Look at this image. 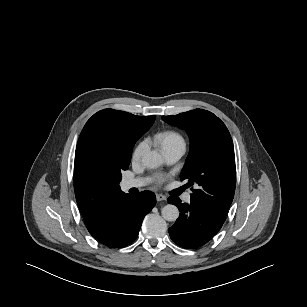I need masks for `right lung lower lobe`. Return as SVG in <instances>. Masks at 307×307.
<instances>
[{
	"instance_id": "98d812e1",
	"label": "right lung lower lobe",
	"mask_w": 307,
	"mask_h": 307,
	"mask_svg": "<svg viewBox=\"0 0 307 307\" xmlns=\"http://www.w3.org/2000/svg\"><path fill=\"white\" fill-rule=\"evenodd\" d=\"M155 203V195L150 191L139 195L128 194L120 200L103 230L93 237L111 248L131 244L138 236L145 215Z\"/></svg>"
}]
</instances>
